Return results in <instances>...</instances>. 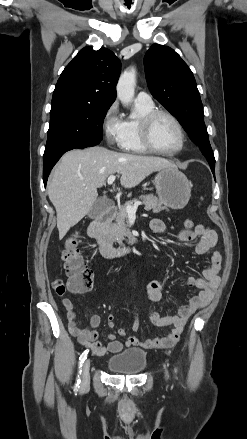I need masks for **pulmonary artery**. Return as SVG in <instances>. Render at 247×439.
Listing matches in <instances>:
<instances>
[{"mask_svg": "<svg viewBox=\"0 0 247 439\" xmlns=\"http://www.w3.org/2000/svg\"><path fill=\"white\" fill-rule=\"evenodd\" d=\"M135 101L140 102V103H145V104L153 103L151 96L144 91H140L137 94Z\"/></svg>", "mask_w": 247, "mask_h": 439, "instance_id": "e3ab8cb5", "label": "pulmonary artery"}]
</instances>
